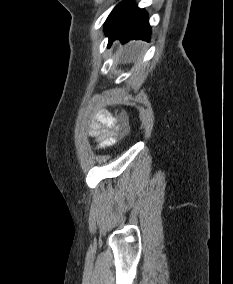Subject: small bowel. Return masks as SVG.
I'll list each match as a JSON object with an SVG mask.
<instances>
[{
    "instance_id": "c3829d8e",
    "label": "small bowel",
    "mask_w": 233,
    "mask_h": 284,
    "mask_svg": "<svg viewBox=\"0 0 233 284\" xmlns=\"http://www.w3.org/2000/svg\"><path fill=\"white\" fill-rule=\"evenodd\" d=\"M127 125L126 117L116 120L110 115H105L99 122L92 125L90 135L95 138L100 147H108L115 142L117 133L121 130H125Z\"/></svg>"
}]
</instances>
